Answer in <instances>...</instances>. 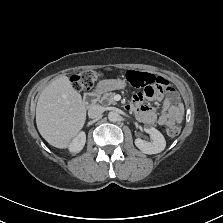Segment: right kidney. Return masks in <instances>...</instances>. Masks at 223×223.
<instances>
[{
	"mask_svg": "<svg viewBox=\"0 0 223 223\" xmlns=\"http://www.w3.org/2000/svg\"><path fill=\"white\" fill-rule=\"evenodd\" d=\"M86 143V133L85 131L81 130L79 131L75 137H73L68 145H67V150L70 154L75 155L80 153Z\"/></svg>",
	"mask_w": 223,
	"mask_h": 223,
	"instance_id": "1",
	"label": "right kidney"
}]
</instances>
